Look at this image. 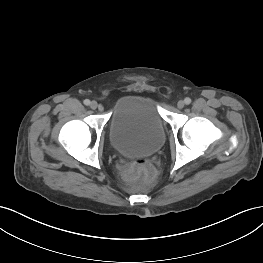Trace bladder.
Segmentation results:
<instances>
[{"instance_id": "obj_1", "label": "bladder", "mask_w": 263, "mask_h": 263, "mask_svg": "<svg viewBox=\"0 0 263 263\" xmlns=\"http://www.w3.org/2000/svg\"><path fill=\"white\" fill-rule=\"evenodd\" d=\"M164 121L156 101L140 95L119 98L111 111L108 138L112 147L126 157H147L165 142Z\"/></svg>"}]
</instances>
